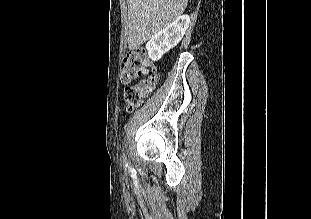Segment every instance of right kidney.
Listing matches in <instances>:
<instances>
[{
  "instance_id": "obj_1",
  "label": "right kidney",
  "mask_w": 311,
  "mask_h": 219,
  "mask_svg": "<svg viewBox=\"0 0 311 219\" xmlns=\"http://www.w3.org/2000/svg\"><path fill=\"white\" fill-rule=\"evenodd\" d=\"M189 23L190 17L188 15H182L155 34L146 44L150 59L157 61L170 49L174 48L183 38Z\"/></svg>"
}]
</instances>
